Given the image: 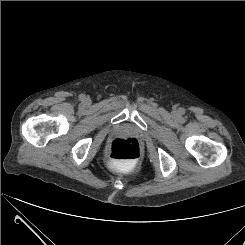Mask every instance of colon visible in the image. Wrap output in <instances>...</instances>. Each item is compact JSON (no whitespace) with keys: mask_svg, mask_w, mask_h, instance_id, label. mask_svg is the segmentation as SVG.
<instances>
[{"mask_svg":"<svg viewBox=\"0 0 245 245\" xmlns=\"http://www.w3.org/2000/svg\"><path fill=\"white\" fill-rule=\"evenodd\" d=\"M108 155L115 162L132 165L140 158L141 147L135 138L115 139L108 147Z\"/></svg>","mask_w":245,"mask_h":245,"instance_id":"1","label":"colon"}]
</instances>
